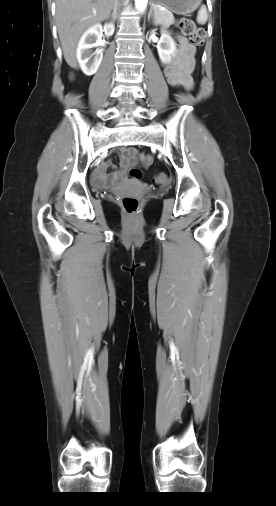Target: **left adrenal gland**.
Returning <instances> with one entry per match:
<instances>
[{
	"instance_id": "a2214340",
	"label": "left adrenal gland",
	"mask_w": 276,
	"mask_h": 506,
	"mask_svg": "<svg viewBox=\"0 0 276 506\" xmlns=\"http://www.w3.org/2000/svg\"><path fill=\"white\" fill-rule=\"evenodd\" d=\"M153 9L154 8H153V5H152L151 8H150V11H149V17H151V16L155 17V15L153 14Z\"/></svg>"
}]
</instances>
